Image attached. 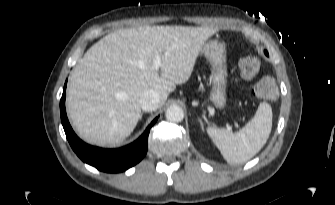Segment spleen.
<instances>
[{
    "label": "spleen",
    "mask_w": 335,
    "mask_h": 205,
    "mask_svg": "<svg viewBox=\"0 0 335 205\" xmlns=\"http://www.w3.org/2000/svg\"><path fill=\"white\" fill-rule=\"evenodd\" d=\"M272 109L260 103L254 117L238 132L208 127L207 133L230 164L245 163L255 156L267 142L272 129Z\"/></svg>",
    "instance_id": "3e777b00"
}]
</instances>
